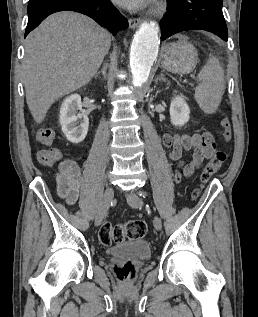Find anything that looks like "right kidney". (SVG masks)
<instances>
[{
	"label": "right kidney",
	"mask_w": 258,
	"mask_h": 317,
	"mask_svg": "<svg viewBox=\"0 0 258 317\" xmlns=\"http://www.w3.org/2000/svg\"><path fill=\"white\" fill-rule=\"evenodd\" d=\"M59 122L68 140H71V142L84 140L88 132L89 118L82 110L80 94H70L63 100Z\"/></svg>",
	"instance_id": "obj_1"
}]
</instances>
